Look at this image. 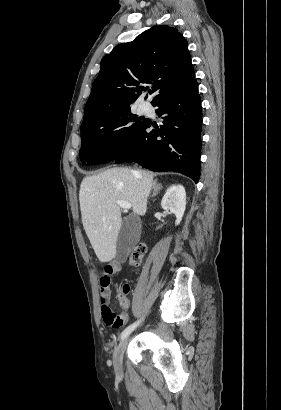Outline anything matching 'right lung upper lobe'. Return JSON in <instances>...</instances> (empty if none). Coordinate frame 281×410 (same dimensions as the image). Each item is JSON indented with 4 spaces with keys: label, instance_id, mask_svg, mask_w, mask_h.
Wrapping results in <instances>:
<instances>
[{
    "label": "right lung upper lobe",
    "instance_id": "cb5924a9",
    "mask_svg": "<svg viewBox=\"0 0 281 410\" xmlns=\"http://www.w3.org/2000/svg\"><path fill=\"white\" fill-rule=\"evenodd\" d=\"M195 81L186 41L176 28L156 25L132 42L117 45L101 61L84 109L82 124L107 112L130 107L140 96L141 83L153 84L152 104L161 96Z\"/></svg>",
    "mask_w": 281,
    "mask_h": 410
}]
</instances>
